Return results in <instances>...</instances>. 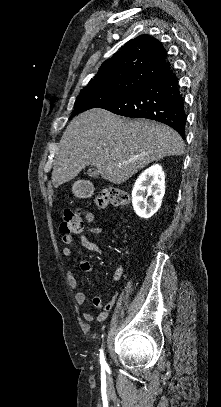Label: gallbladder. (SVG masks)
Instances as JSON below:
<instances>
[{"instance_id":"bac80fb5","label":"gallbladder","mask_w":221,"mask_h":407,"mask_svg":"<svg viewBox=\"0 0 221 407\" xmlns=\"http://www.w3.org/2000/svg\"><path fill=\"white\" fill-rule=\"evenodd\" d=\"M87 174L91 177H97L99 175V171L95 168H91L87 171Z\"/></svg>"}]
</instances>
